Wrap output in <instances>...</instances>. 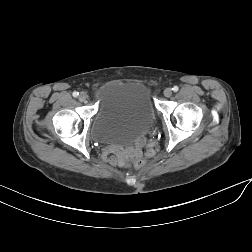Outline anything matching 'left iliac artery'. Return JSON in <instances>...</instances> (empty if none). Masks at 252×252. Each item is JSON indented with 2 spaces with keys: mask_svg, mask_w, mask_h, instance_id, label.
<instances>
[{
  "mask_svg": "<svg viewBox=\"0 0 252 252\" xmlns=\"http://www.w3.org/2000/svg\"><path fill=\"white\" fill-rule=\"evenodd\" d=\"M172 90H173L174 92H177V91L179 90V88H178V86H173Z\"/></svg>",
  "mask_w": 252,
  "mask_h": 252,
  "instance_id": "44dca946",
  "label": "left iliac artery"
}]
</instances>
